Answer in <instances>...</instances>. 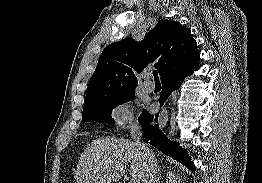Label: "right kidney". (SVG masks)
I'll return each instance as SVG.
<instances>
[{
    "instance_id": "obj_1",
    "label": "right kidney",
    "mask_w": 262,
    "mask_h": 183,
    "mask_svg": "<svg viewBox=\"0 0 262 183\" xmlns=\"http://www.w3.org/2000/svg\"><path fill=\"white\" fill-rule=\"evenodd\" d=\"M177 180H178V183H180V178L177 177L175 174L170 173L166 183H177Z\"/></svg>"
}]
</instances>
